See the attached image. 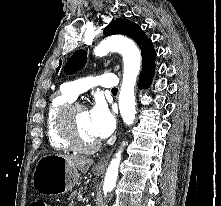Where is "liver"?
Masks as SVG:
<instances>
[{
    "label": "liver",
    "mask_w": 221,
    "mask_h": 206,
    "mask_svg": "<svg viewBox=\"0 0 221 206\" xmlns=\"http://www.w3.org/2000/svg\"><path fill=\"white\" fill-rule=\"evenodd\" d=\"M63 157L66 159L70 167L74 168L77 171H81V173L83 174H85L89 170L90 166L93 164V160L86 157L70 155H65Z\"/></svg>",
    "instance_id": "1"
}]
</instances>
